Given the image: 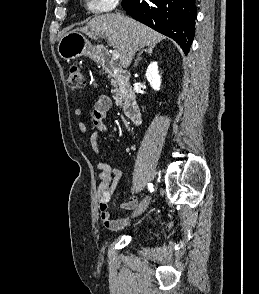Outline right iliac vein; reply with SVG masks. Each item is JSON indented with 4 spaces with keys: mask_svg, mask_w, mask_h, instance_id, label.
I'll return each mask as SVG.
<instances>
[{
    "mask_svg": "<svg viewBox=\"0 0 259 294\" xmlns=\"http://www.w3.org/2000/svg\"><path fill=\"white\" fill-rule=\"evenodd\" d=\"M150 199H151V197L149 195L144 198V200L140 203L138 208L134 211L133 217H137V216L141 215L147 209V207L150 203Z\"/></svg>",
    "mask_w": 259,
    "mask_h": 294,
    "instance_id": "63e3f726",
    "label": "right iliac vein"
}]
</instances>
